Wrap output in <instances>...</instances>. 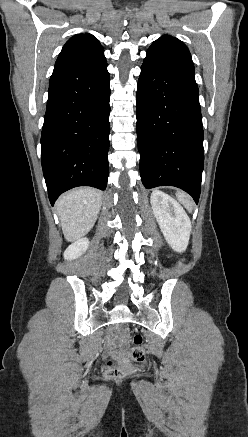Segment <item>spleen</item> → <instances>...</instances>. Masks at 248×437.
<instances>
[{
    "label": "spleen",
    "instance_id": "obj_1",
    "mask_svg": "<svg viewBox=\"0 0 248 437\" xmlns=\"http://www.w3.org/2000/svg\"><path fill=\"white\" fill-rule=\"evenodd\" d=\"M177 199L178 201L188 210V211H192L193 210V202L190 199V197L188 195H186L183 192H177L176 193Z\"/></svg>",
    "mask_w": 248,
    "mask_h": 437
}]
</instances>
